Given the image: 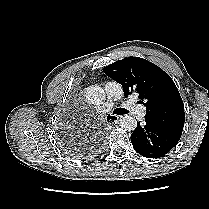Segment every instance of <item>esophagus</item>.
I'll return each instance as SVG.
<instances>
[{"instance_id":"34e87169","label":"esophagus","mask_w":209,"mask_h":209,"mask_svg":"<svg viewBox=\"0 0 209 209\" xmlns=\"http://www.w3.org/2000/svg\"><path fill=\"white\" fill-rule=\"evenodd\" d=\"M107 117H108V119H106V121L108 123H116L120 119V116L113 115V114H110Z\"/></svg>"}]
</instances>
